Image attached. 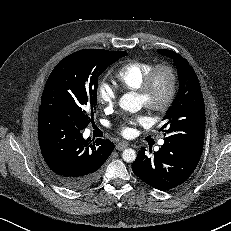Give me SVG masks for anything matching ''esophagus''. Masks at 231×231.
I'll return each instance as SVG.
<instances>
[{
  "label": "esophagus",
  "mask_w": 231,
  "mask_h": 231,
  "mask_svg": "<svg viewBox=\"0 0 231 231\" xmlns=\"http://www.w3.org/2000/svg\"><path fill=\"white\" fill-rule=\"evenodd\" d=\"M127 147H128V144L125 143V142H119L116 145V149L119 150V151H122V150L126 149Z\"/></svg>",
  "instance_id": "obj_1"
}]
</instances>
